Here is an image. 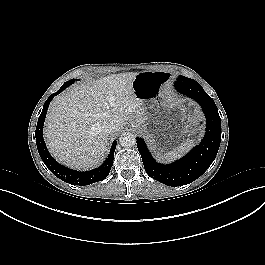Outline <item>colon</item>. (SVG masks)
<instances>
[{
  "label": "colon",
  "mask_w": 265,
  "mask_h": 265,
  "mask_svg": "<svg viewBox=\"0 0 265 265\" xmlns=\"http://www.w3.org/2000/svg\"><path fill=\"white\" fill-rule=\"evenodd\" d=\"M196 125H197V120L193 119L192 122H191V126L192 127H196Z\"/></svg>",
  "instance_id": "obj_1"
}]
</instances>
